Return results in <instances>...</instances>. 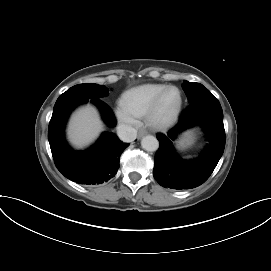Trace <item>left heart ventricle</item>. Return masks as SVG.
<instances>
[{"instance_id":"left-heart-ventricle-1","label":"left heart ventricle","mask_w":271,"mask_h":271,"mask_svg":"<svg viewBox=\"0 0 271 271\" xmlns=\"http://www.w3.org/2000/svg\"><path fill=\"white\" fill-rule=\"evenodd\" d=\"M178 104V93L175 90H170L163 98L160 107V116L166 117L170 115Z\"/></svg>"}]
</instances>
